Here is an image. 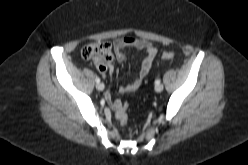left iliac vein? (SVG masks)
<instances>
[{"label": "left iliac vein", "mask_w": 248, "mask_h": 165, "mask_svg": "<svg viewBox=\"0 0 248 165\" xmlns=\"http://www.w3.org/2000/svg\"><path fill=\"white\" fill-rule=\"evenodd\" d=\"M164 86L162 84H156L155 85V91L156 92H161L163 90Z\"/></svg>", "instance_id": "obj_1"}]
</instances>
